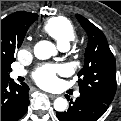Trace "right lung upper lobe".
<instances>
[{"mask_svg": "<svg viewBox=\"0 0 121 121\" xmlns=\"http://www.w3.org/2000/svg\"><path fill=\"white\" fill-rule=\"evenodd\" d=\"M37 17L35 13L21 11L1 20V61L14 58L15 50L20 47L19 29L29 27Z\"/></svg>", "mask_w": 121, "mask_h": 121, "instance_id": "cb5924a9", "label": "right lung upper lobe"}]
</instances>
